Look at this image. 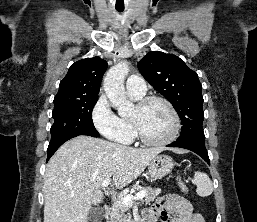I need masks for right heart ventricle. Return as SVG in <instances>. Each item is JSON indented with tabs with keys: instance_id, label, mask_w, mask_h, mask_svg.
I'll list each match as a JSON object with an SVG mask.
<instances>
[{
	"instance_id": "right-heart-ventricle-1",
	"label": "right heart ventricle",
	"mask_w": 257,
	"mask_h": 222,
	"mask_svg": "<svg viewBox=\"0 0 257 222\" xmlns=\"http://www.w3.org/2000/svg\"><path fill=\"white\" fill-rule=\"evenodd\" d=\"M129 95H130V97H131L132 99H134V100H139V99L142 98V96L140 97V96H135V95H132V94H129ZM122 121H123L125 124L131 126L130 121H129L127 118H123ZM131 127H132V126H131Z\"/></svg>"
}]
</instances>
